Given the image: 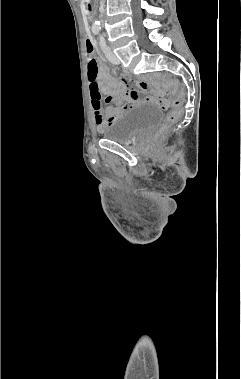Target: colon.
<instances>
[{"label": "colon", "mask_w": 241, "mask_h": 379, "mask_svg": "<svg viewBox=\"0 0 241 379\" xmlns=\"http://www.w3.org/2000/svg\"><path fill=\"white\" fill-rule=\"evenodd\" d=\"M86 54H87V68H88V86L90 89H100L99 83L97 82V75L99 72L97 60L94 53V46L90 40L86 42ZM159 105L163 109L172 108L173 110L167 115L165 122L158 131V135L162 136L165 134L171 125H173L181 116L183 98L180 96L173 100L167 98H159Z\"/></svg>", "instance_id": "1"}]
</instances>
